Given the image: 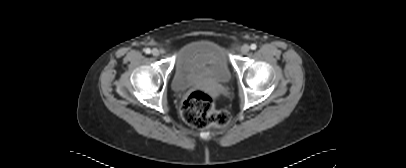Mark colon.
I'll return each instance as SVG.
<instances>
[{"label":"colon","instance_id":"1","mask_svg":"<svg viewBox=\"0 0 406 168\" xmlns=\"http://www.w3.org/2000/svg\"><path fill=\"white\" fill-rule=\"evenodd\" d=\"M181 114L185 122L197 128L224 127L231 122L230 114L216 110L213 95L203 90H195L184 99Z\"/></svg>","mask_w":406,"mask_h":168}]
</instances>
